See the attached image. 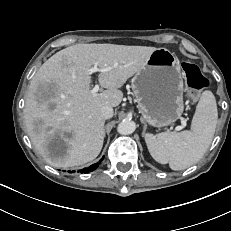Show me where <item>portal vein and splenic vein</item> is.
Masks as SVG:
<instances>
[{
	"label": "portal vein and splenic vein",
	"mask_w": 231,
	"mask_h": 231,
	"mask_svg": "<svg viewBox=\"0 0 231 231\" xmlns=\"http://www.w3.org/2000/svg\"><path fill=\"white\" fill-rule=\"evenodd\" d=\"M110 67H106V68H103V69H99L97 66H94V67H92L91 69H90V71L92 72V73H95V72H98V71H101V72H108V71H110ZM100 90V87H99V85L98 84H96L95 86H94V88L91 90V93L92 94H96L98 91ZM185 121H182V124L183 125H185ZM177 130H181V127H178L177 128Z\"/></svg>",
	"instance_id": "1"
}]
</instances>
